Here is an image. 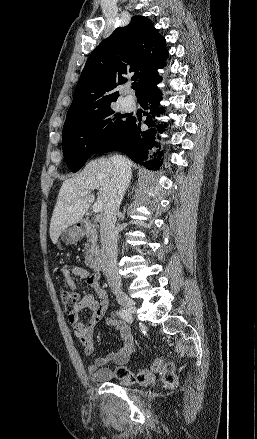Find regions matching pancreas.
Masks as SVG:
<instances>
[{
    "label": "pancreas",
    "mask_w": 257,
    "mask_h": 439,
    "mask_svg": "<svg viewBox=\"0 0 257 439\" xmlns=\"http://www.w3.org/2000/svg\"><path fill=\"white\" fill-rule=\"evenodd\" d=\"M97 234L95 231H91L87 235V243H85V264L90 267L93 262V257L98 253V247L96 244Z\"/></svg>",
    "instance_id": "cf45deb5"
}]
</instances>
